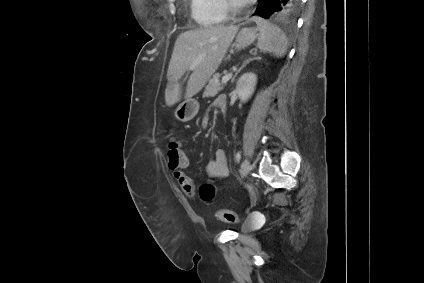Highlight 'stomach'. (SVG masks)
Instances as JSON below:
<instances>
[{"instance_id": "stomach-1", "label": "stomach", "mask_w": 424, "mask_h": 283, "mask_svg": "<svg viewBox=\"0 0 424 283\" xmlns=\"http://www.w3.org/2000/svg\"><path fill=\"white\" fill-rule=\"evenodd\" d=\"M256 30L243 28L239 31L235 41L237 50L244 49L251 45L256 39ZM199 110V103L193 98H186L175 110V117L181 122H188L193 119Z\"/></svg>"}]
</instances>
